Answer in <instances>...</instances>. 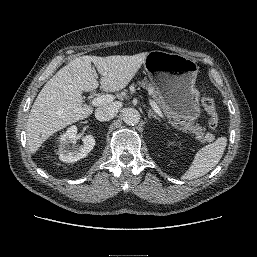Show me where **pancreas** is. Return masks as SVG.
<instances>
[{"mask_svg": "<svg viewBox=\"0 0 257 257\" xmlns=\"http://www.w3.org/2000/svg\"><path fill=\"white\" fill-rule=\"evenodd\" d=\"M140 85L149 91L155 103L162 109L163 113L175 127H179L185 133H193L195 135V139L201 143H205L207 141L204 129H202L199 125H194L192 122L181 121V119L168 108L154 85L149 83L147 80L142 81Z\"/></svg>", "mask_w": 257, "mask_h": 257, "instance_id": "pancreas-1", "label": "pancreas"}]
</instances>
